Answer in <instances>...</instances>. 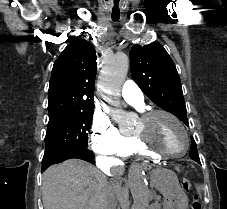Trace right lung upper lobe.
I'll use <instances>...</instances> for the list:
<instances>
[{
    "instance_id": "obj_1",
    "label": "right lung upper lobe",
    "mask_w": 227,
    "mask_h": 209,
    "mask_svg": "<svg viewBox=\"0 0 227 209\" xmlns=\"http://www.w3.org/2000/svg\"><path fill=\"white\" fill-rule=\"evenodd\" d=\"M96 76V53L85 40L67 45L55 61L49 86L51 109L57 100L67 98L93 99Z\"/></svg>"
}]
</instances>
